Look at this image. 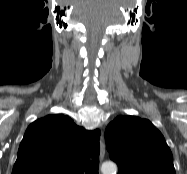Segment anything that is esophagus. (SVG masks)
<instances>
[{
    "label": "esophagus",
    "mask_w": 187,
    "mask_h": 174,
    "mask_svg": "<svg viewBox=\"0 0 187 174\" xmlns=\"http://www.w3.org/2000/svg\"><path fill=\"white\" fill-rule=\"evenodd\" d=\"M104 155H105V141H104V136L102 134L100 137V155H99L100 160H103Z\"/></svg>",
    "instance_id": "obj_1"
}]
</instances>
